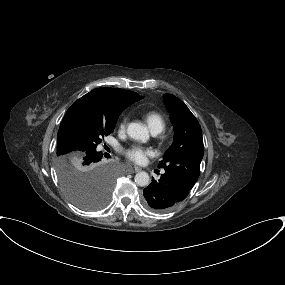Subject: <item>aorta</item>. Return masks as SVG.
Instances as JSON below:
<instances>
[{
  "label": "aorta",
  "instance_id": "obj_1",
  "mask_svg": "<svg viewBox=\"0 0 285 285\" xmlns=\"http://www.w3.org/2000/svg\"><path fill=\"white\" fill-rule=\"evenodd\" d=\"M127 134L135 139L146 142L149 139V131L148 128L143 126L140 123H130L127 128ZM150 178L148 173L139 172L135 175V183L138 186H147L149 184Z\"/></svg>",
  "mask_w": 285,
  "mask_h": 285
}]
</instances>
